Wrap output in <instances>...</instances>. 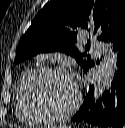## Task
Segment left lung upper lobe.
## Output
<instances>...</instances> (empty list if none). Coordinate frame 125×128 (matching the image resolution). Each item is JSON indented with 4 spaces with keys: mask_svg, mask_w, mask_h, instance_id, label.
<instances>
[{
    "mask_svg": "<svg viewBox=\"0 0 125 128\" xmlns=\"http://www.w3.org/2000/svg\"><path fill=\"white\" fill-rule=\"evenodd\" d=\"M124 25L125 0H51L22 36L15 64L39 53L60 51L74 57L85 72L94 61L77 49L78 33L91 32L108 41Z\"/></svg>",
    "mask_w": 125,
    "mask_h": 128,
    "instance_id": "5c2ea615",
    "label": "left lung upper lobe"
}]
</instances>
